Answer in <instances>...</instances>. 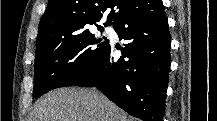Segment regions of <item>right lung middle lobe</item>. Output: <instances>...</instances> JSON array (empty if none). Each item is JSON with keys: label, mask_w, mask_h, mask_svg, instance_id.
Masks as SVG:
<instances>
[{"label": "right lung middle lobe", "mask_w": 217, "mask_h": 121, "mask_svg": "<svg viewBox=\"0 0 217 121\" xmlns=\"http://www.w3.org/2000/svg\"><path fill=\"white\" fill-rule=\"evenodd\" d=\"M96 26L103 31L102 26ZM108 45L105 37H95L87 26L36 47L33 97L58 87L74 85L99 61Z\"/></svg>", "instance_id": "1"}]
</instances>
